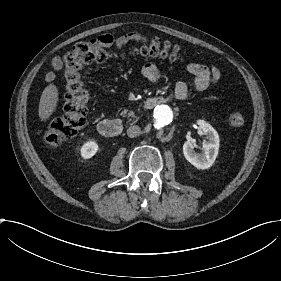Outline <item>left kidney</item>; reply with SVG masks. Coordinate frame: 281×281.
Instances as JSON below:
<instances>
[{
  "label": "left kidney",
  "instance_id": "1",
  "mask_svg": "<svg viewBox=\"0 0 281 281\" xmlns=\"http://www.w3.org/2000/svg\"><path fill=\"white\" fill-rule=\"evenodd\" d=\"M197 124L203 131V134L208 137V141L203 143V153L194 151V144L191 141H186L183 145V154L188 162L197 169H207L214 163L219 150V135L217 131L206 121L197 120Z\"/></svg>",
  "mask_w": 281,
  "mask_h": 281
}]
</instances>
